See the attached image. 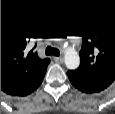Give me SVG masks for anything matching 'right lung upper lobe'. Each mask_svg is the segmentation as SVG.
Segmentation results:
<instances>
[{"label": "right lung upper lobe", "mask_w": 115, "mask_h": 114, "mask_svg": "<svg viewBox=\"0 0 115 114\" xmlns=\"http://www.w3.org/2000/svg\"><path fill=\"white\" fill-rule=\"evenodd\" d=\"M31 38L19 26L1 24V90L7 94L28 95L45 76L50 60L40 59L33 49L28 50Z\"/></svg>", "instance_id": "obj_1"}]
</instances>
